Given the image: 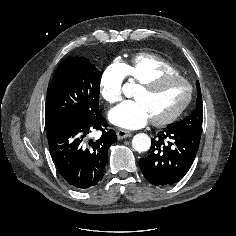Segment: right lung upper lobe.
Listing matches in <instances>:
<instances>
[{"label":"right lung upper lobe","mask_w":236,"mask_h":236,"mask_svg":"<svg viewBox=\"0 0 236 236\" xmlns=\"http://www.w3.org/2000/svg\"><path fill=\"white\" fill-rule=\"evenodd\" d=\"M53 126H55V124H51L48 127H46V129L52 128Z\"/></svg>","instance_id":"cb5924a9"}]
</instances>
